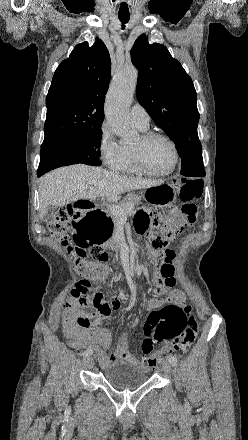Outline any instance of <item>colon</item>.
I'll return each mask as SVG.
<instances>
[{"instance_id":"obj_1","label":"colon","mask_w":248,"mask_h":440,"mask_svg":"<svg viewBox=\"0 0 248 440\" xmlns=\"http://www.w3.org/2000/svg\"><path fill=\"white\" fill-rule=\"evenodd\" d=\"M202 193L199 180L182 179L180 198L182 206L178 216L171 218L161 228V231L150 239V249L154 257H172L175 253L170 245L182 232L183 228L195 222L197 207L194 200ZM82 209L67 205L59 208L48 223L53 238L61 242L74 256V268L82 279L71 291L72 301L83 310L95 308L100 304L101 295L93 287L91 280H106L110 273L109 256L101 246H87L86 241L69 243V233L73 218H83ZM175 286V285H174ZM76 321L81 326H87L89 319L80 314ZM198 332V321L189 315L187 308L177 304H167L152 310L143 327L144 338L141 343L142 352L150 367H155L160 353L154 351V345L167 341L164 352H186L193 343Z\"/></svg>"}]
</instances>
